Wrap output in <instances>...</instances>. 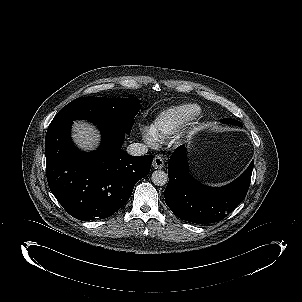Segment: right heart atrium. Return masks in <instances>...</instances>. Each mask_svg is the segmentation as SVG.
<instances>
[{
    "label": "right heart atrium",
    "instance_id": "obj_1",
    "mask_svg": "<svg viewBox=\"0 0 302 302\" xmlns=\"http://www.w3.org/2000/svg\"><path fill=\"white\" fill-rule=\"evenodd\" d=\"M140 135L142 140L150 147H156L160 142V139L151 129L145 127L141 128Z\"/></svg>",
    "mask_w": 302,
    "mask_h": 302
}]
</instances>
